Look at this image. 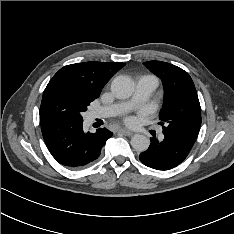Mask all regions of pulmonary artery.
<instances>
[{
    "label": "pulmonary artery",
    "instance_id": "obj_1",
    "mask_svg": "<svg viewBox=\"0 0 234 234\" xmlns=\"http://www.w3.org/2000/svg\"><path fill=\"white\" fill-rule=\"evenodd\" d=\"M156 86L157 81L154 77L143 76L138 80L135 94L130 101L105 106L99 110H96L92 113V118L109 117L123 113L133 105L145 102L147 99H149Z\"/></svg>",
    "mask_w": 234,
    "mask_h": 234
}]
</instances>
